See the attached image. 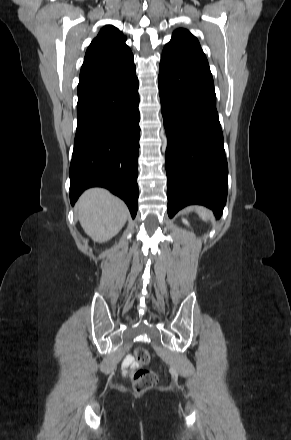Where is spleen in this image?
Segmentation results:
<instances>
[{
  "mask_svg": "<svg viewBox=\"0 0 291 440\" xmlns=\"http://www.w3.org/2000/svg\"><path fill=\"white\" fill-rule=\"evenodd\" d=\"M198 213L199 216L205 221L210 217V212L204 207H199Z\"/></svg>",
  "mask_w": 291,
  "mask_h": 440,
  "instance_id": "obj_1",
  "label": "spleen"
}]
</instances>
